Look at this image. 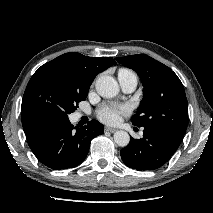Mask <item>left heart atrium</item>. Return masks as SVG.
<instances>
[{"instance_id":"obj_1","label":"left heart atrium","mask_w":213,"mask_h":213,"mask_svg":"<svg viewBox=\"0 0 213 213\" xmlns=\"http://www.w3.org/2000/svg\"><path fill=\"white\" fill-rule=\"evenodd\" d=\"M127 113L126 106L104 105L99 109L98 117L107 124H116L121 116Z\"/></svg>"}]
</instances>
